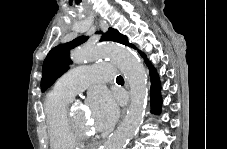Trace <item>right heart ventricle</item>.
I'll return each mask as SVG.
<instances>
[{"label": "right heart ventricle", "instance_id": "e07e8e85", "mask_svg": "<svg viewBox=\"0 0 227 149\" xmlns=\"http://www.w3.org/2000/svg\"><path fill=\"white\" fill-rule=\"evenodd\" d=\"M72 97L53 89L44 101V114L48 129L50 147L52 149H73L78 140L66 127L65 113Z\"/></svg>", "mask_w": 227, "mask_h": 149}]
</instances>
